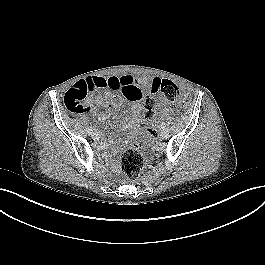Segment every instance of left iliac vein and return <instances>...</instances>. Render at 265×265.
<instances>
[{"instance_id":"left-iliac-vein-1","label":"left iliac vein","mask_w":265,"mask_h":265,"mask_svg":"<svg viewBox=\"0 0 265 265\" xmlns=\"http://www.w3.org/2000/svg\"><path fill=\"white\" fill-rule=\"evenodd\" d=\"M160 136H161V138L166 139L169 136V131L167 129H163L160 132Z\"/></svg>"}]
</instances>
